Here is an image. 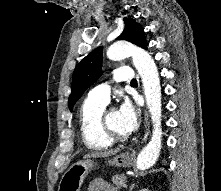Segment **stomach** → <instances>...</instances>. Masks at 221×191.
Instances as JSON below:
<instances>
[{
	"instance_id": "0dacf381",
	"label": "stomach",
	"mask_w": 221,
	"mask_h": 191,
	"mask_svg": "<svg viewBox=\"0 0 221 191\" xmlns=\"http://www.w3.org/2000/svg\"><path fill=\"white\" fill-rule=\"evenodd\" d=\"M108 163L116 167L126 168L132 165L133 156L129 152L121 153L109 160ZM94 164L92 160H82L71 165L63 174L58 191H80L85 177L93 169Z\"/></svg>"
}]
</instances>
